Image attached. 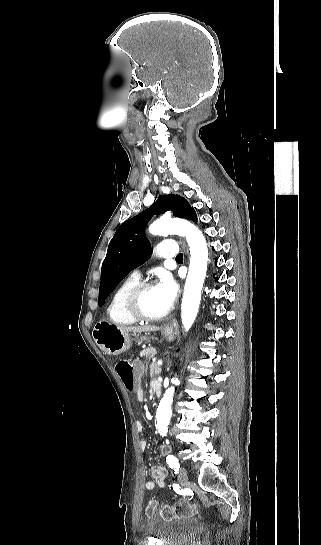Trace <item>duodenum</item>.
Wrapping results in <instances>:
<instances>
[{"label": "duodenum", "instance_id": "410a0bca", "mask_svg": "<svg viewBox=\"0 0 321 545\" xmlns=\"http://www.w3.org/2000/svg\"><path fill=\"white\" fill-rule=\"evenodd\" d=\"M153 390L155 391V393H156L157 395H160V393H161V384H160V383H156V384L154 385V387H153Z\"/></svg>", "mask_w": 321, "mask_h": 545}]
</instances>
